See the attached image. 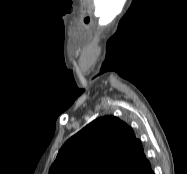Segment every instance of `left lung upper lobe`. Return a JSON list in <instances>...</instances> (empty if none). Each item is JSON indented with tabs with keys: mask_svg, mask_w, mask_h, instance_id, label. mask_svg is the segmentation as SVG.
<instances>
[{
	"mask_svg": "<svg viewBox=\"0 0 187 174\" xmlns=\"http://www.w3.org/2000/svg\"><path fill=\"white\" fill-rule=\"evenodd\" d=\"M150 163L131 127L114 116L98 118L60 149L49 174H142Z\"/></svg>",
	"mask_w": 187,
	"mask_h": 174,
	"instance_id": "obj_1",
	"label": "left lung upper lobe"
}]
</instances>
